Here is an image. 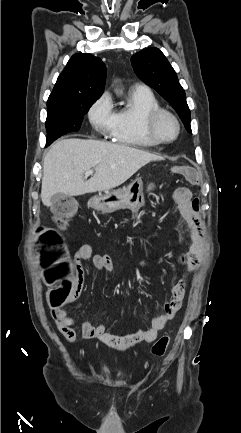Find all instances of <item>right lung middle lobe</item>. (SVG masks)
Wrapping results in <instances>:
<instances>
[{"label": "right lung middle lobe", "instance_id": "dd1d6c3e", "mask_svg": "<svg viewBox=\"0 0 241 433\" xmlns=\"http://www.w3.org/2000/svg\"><path fill=\"white\" fill-rule=\"evenodd\" d=\"M96 100L47 102L46 145L66 133L78 131L85 113Z\"/></svg>", "mask_w": 241, "mask_h": 433}]
</instances>
